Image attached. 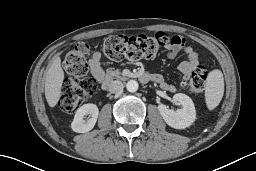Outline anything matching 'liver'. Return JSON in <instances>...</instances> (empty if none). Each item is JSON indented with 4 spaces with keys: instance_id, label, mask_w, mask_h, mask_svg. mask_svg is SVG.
Returning a JSON list of instances; mask_svg holds the SVG:
<instances>
[{
    "instance_id": "1",
    "label": "liver",
    "mask_w": 256,
    "mask_h": 171,
    "mask_svg": "<svg viewBox=\"0 0 256 171\" xmlns=\"http://www.w3.org/2000/svg\"><path fill=\"white\" fill-rule=\"evenodd\" d=\"M64 72L61 67V59L56 56L46 72L45 97L50 107H55L61 96V88Z\"/></svg>"
}]
</instances>
